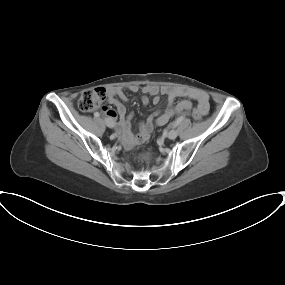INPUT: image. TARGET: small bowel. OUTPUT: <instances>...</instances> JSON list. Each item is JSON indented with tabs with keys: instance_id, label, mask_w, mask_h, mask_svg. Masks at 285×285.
I'll list each match as a JSON object with an SVG mask.
<instances>
[{
	"instance_id": "obj_1",
	"label": "small bowel",
	"mask_w": 285,
	"mask_h": 285,
	"mask_svg": "<svg viewBox=\"0 0 285 285\" xmlns=\"http://www.w3.org/2000/svg\"><path fill=\"white\" fill-rule=\"evenodd\" d=\"M129 89L132 92H137L139 87L132 85ZM141 90L145 94V96L142 97V103L144 105H148L149 103L148 96H152L153 103L158 104L160 101L159 93H162L167 98L168 106L163 113L158 114V112H155L153 115L148 117L145 122H142L139 126V133L136 135H133L132 133V115L127 113L126 107L123 103L128 99L124 90L121 87H109L105 91L107 102L113 105L116 110L104 108V114L111 120L119 118L118 134L123 144L128 148L146 141L150 137L154 123L159 126L165 125L174 115L190 110L192 102L189 99H193L197 102V107L204 115L209 111V98L207 94L203 92L188 93L187 96L189 99L181 100L173 106L175 99L181 95L177 90L167 87L159 88L156 85H146L142 87Z\"/></svg>"
}]
</instances>
